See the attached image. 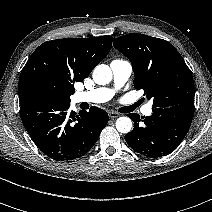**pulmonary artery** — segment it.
Listing matches in <instances>:
<instances>
[{"label":"pulmonary artery","mask_w":212,"mask_h":212,"mask_svg":"<svg viewBox=\"0 0 212 212\" xmlns=\"http://www.w3.org/2000/svg\"><path fill=\"white\" fill-rule=\"evenodd\" d=\"M113 74V87H100L90 91L77 92L74 95L76 103H104L109 101L128 81L132 74V65L129 61L123 59L113 60L110 64ZM142 114L145 116L152 115V104H146L142 108Z\"/></svg>","instance_id":"obj_1"}]
</instances>
